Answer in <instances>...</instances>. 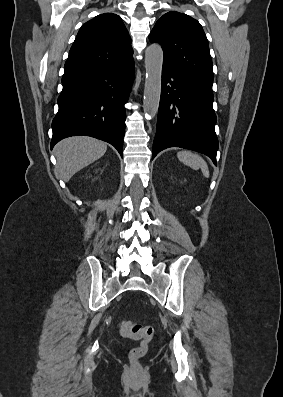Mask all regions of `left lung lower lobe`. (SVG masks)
Returning a JSON list of instances; mask_svg holds the SVG:
<instances>
[{
	"instance_id": "0a47b994",
	"label": "left lung lower lobe",
	"mask_w": 283,
	"mask_h": 397,
	"mask_svg": "<svg viewBox=\"0 0 283 397\" xmlns=\"http://www.w3.org/2000/svg\"><path fill=\"white\" fill-rule=\"evenodd\" d=\"M212 87L163 62L162 88L152 159L169 147H181L209 156L216 165Z\"/></svg>"
}]
</instances>
